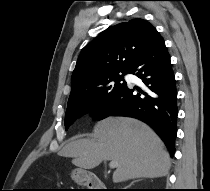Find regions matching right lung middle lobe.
Listing matches in <instances>:
<instances>
[{
	"label": "right lung middle lobe",
	"mask_w": 210,
	"mask_h": 191,
	"mask_svg": "<svg viewBox=\"0 0 210 191\" xmlns=\"http://www.w3.org/2000/svg\"><path fill=\"white\" fill-rule=\"evenodd\" d=\"M128 73L129 70L108 73L86 92L70 98L65 115V129L85 112L91 111L98 118L114 96L126 86L123 76Z\"/></svg>",
	"instance_id": "1"
}]
</instances>
